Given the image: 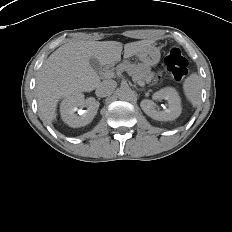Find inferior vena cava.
Instances as JSON below:
<instances>
[{"mask_svg":"<svg viewBox=\"0 0 232 232\" xmlns=\"http://www.w3.org/2000/svg\"><path fill=\"white\" fill-rule=\"evenodd\" d=\"M117 83L114 80H103L96 88V95L98 97H106L113 93Z\"/></svg>","mask_w":232,"mask_h":232,"instance_id":"602c4592","label":"inferior vena cava"}]
</instances>
